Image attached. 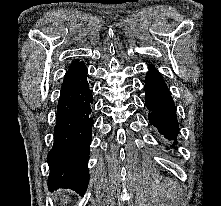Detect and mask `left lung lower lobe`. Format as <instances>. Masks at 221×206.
Masks as SVG:
<instances>
[{
	"label": "left lung lower lobe",
	"instance_id": "left-lung-lower-lobe-1",
	"mask_svg": "<svg viewBox=\"0 0 221 206\" xmlns=\"http://www.w3.org/2000/svg\"><path fill=\"white\" fill-rule=\"evenodd\" d=\"M144 88L146 107L150 111L149 122L166 138L174 140V146L179 133L176 109L170 92L156 69L149 68Z\"/></svg>",
	"mask_w": 221,
	"mask_h": 206
}]
</instances>
